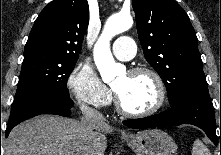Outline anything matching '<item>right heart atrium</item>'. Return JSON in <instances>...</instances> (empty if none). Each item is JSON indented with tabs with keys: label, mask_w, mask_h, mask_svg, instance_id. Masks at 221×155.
<instances>
[{
	"label": "right heart atrium",
	"mask_w": 221,
	"mask_h": 155,
	"mask_svg": "<svg viewBox=\"0 0 221 155\" xmlns=\"http://www.w3.org/2000/svg\"><path fill=\"white\" fill-rule=\"evenodd\" d=\"M67 85L72 96L82 105L103 108L112 99L110 89L101 81L96 71L86 63H81L74 68Z\"/></svg>",
	"instance_id": "obj_1"
}]
</instances>
